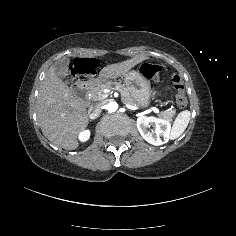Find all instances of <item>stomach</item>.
Segmentation results:
<instances>
[{
	"instance_id": "0dacf381",
	"label": "stomach",
	"mask_w": 236,
	"mask_h": 236,
	"mask_svg": "<svg viewBox=\"0 0 236 236\" xmlns=\"http://www.w3.org/2000/svg\"><path fill=\"white\" fill-rule=\"evenodd\" d=\"M127 91L139 107H146L150 102L153 91L150 82L139 72L132 70L124 74Z\"/></svg>"
}]
</instances>
